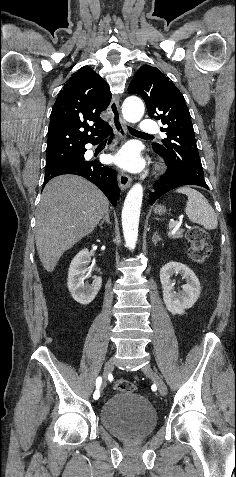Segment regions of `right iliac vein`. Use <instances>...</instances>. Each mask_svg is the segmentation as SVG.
Here are the masks:
<instances>
[{"label": "right iliac vein", "instance_id": "1", "mask_svg": "<svg viewBox=\"0 0 236 477\" xmlns=\"http://www.w3.org/2000/svg\"><path fill=\"white\" fill-rule=\"evenodd\" d=\"M113 369V359L110 358L106 364H105V367H104V372H103V383H102V386L100 387L102 390V392L106 389V382H107V376L108 374L112 371ZM100 393L101 397H104V394L103 393Z\"/></svg>", "mask_w": 236, "mask_h": 477}]
</instances>
